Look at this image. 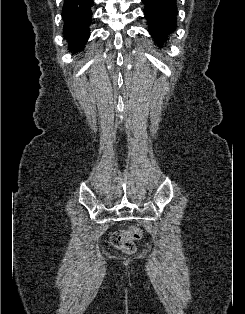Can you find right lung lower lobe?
<instances>
[{
	"mask_svg": "<svg viewBox=\"0 0 245 314\" xmlns=\"http://www.w3.org/2000/svg\"><path fill=\"white\" fill-rule=\"evenodd\" d=\"M93 0H64L62 18L63 32L69 48L82 51L89 38V25L92 20L91 6Z\"/></svg>",
	"mask_w": 245,
	"mask_h": 314,
	"instance_id": "98d812e1",
	"label": "right lung lower lobe"
}]
</instances>
